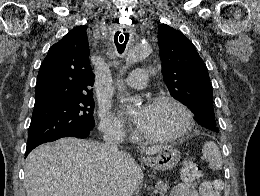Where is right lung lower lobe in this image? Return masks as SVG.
I'll return each instance as SVG.
<instances>
[{"instance_id": "98d812e1", "label": "right lung lower lobe", "mask_w": 260, "mask_h": 196, "mask_svg": "<svg viewBox=\"0 0 260 196\" xmlns=\"http://www.w3.org/2000/svg\"><path fill=\"white\" fill-rule=\"evenodd\" d=\"M90 134V131H84V132H78V133H74L70 136L67 137H76V138H86L88 137ZM34 148H26V154L25 157L33 150Z\"/></svg>"}]
</instances>
